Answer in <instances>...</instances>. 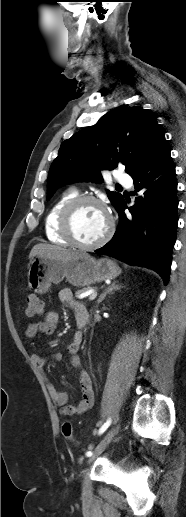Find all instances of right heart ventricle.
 Wrapping results in <instances>:
<instances>
[{
  "mask_svg": "<svg viewBox=\"0 0 186 517\" xmlns=\"http://www.w3.org/2000/svg\"><path fill=\"white\" fill-rule=\"evenodd\" d=\"M77 196L78 192L75 189H68L48 209L44 219V230L50 242L63 245L69 244V241L61 234L60 217L66 205Z\"/></svg>",
  "mask_w": 186,
  "mask_h": 517,
  "instance_id": "e07e8e85",
  "label": "right heart ventricle"
}]
</instances>
